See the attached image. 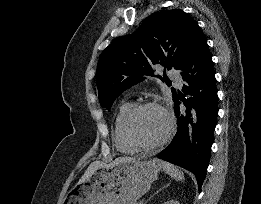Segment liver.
<instances>
[{
  "label": "liver",
  "instance_id": "1",
  "mask_svg": "<svg viewBox=\"0 0 261 204\" xmlns=\"http://www.w3.org/2000/svg\"><path fill=\"white\" fill-rule=\"evenodd\" d=\"M128 160H134V159L131 157H119V158L115 159L113 162H111L110 164H104L102 162L96 161L88 167V169L85 171L82 178L79 180V183H83L86 180H88L90 178V176L100 167L113 166L120 162L128 161Z\"/></svg>",
  "mask_w": 261,
  "mask_h": 204
}]
</instances>
